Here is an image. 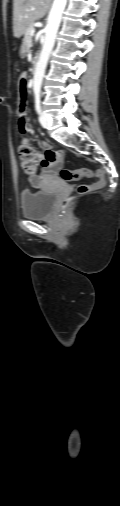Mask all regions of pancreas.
<instances>
[{"instance_id": "pancreas-1", "label": "pancreas", "mask_w": 120, "mask_h": 506, "mask_svg": "<svg viewBox=\"0 0 120 506\" xmlns=\"http://www.w3.org/2000/svg\"><path fill=\"white\" fill-rule=\"evenodd\" d=\"M33 29V26L32 25H29L27 30H26V33H25V37H24V40H23V45L26 49H28V47L31 46V41H32V36L30 35V31Z\"/></svg>"}]
</instances>
